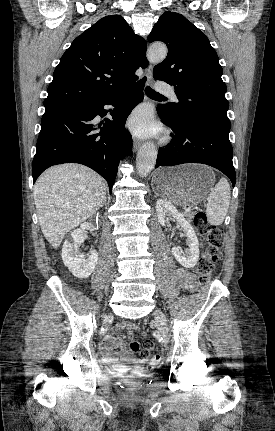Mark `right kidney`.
Returning <instances> with one entry per match:
<instances>
[{
    "label": "right kidney",
    "mask_w": 275,
    "mask_h": 431,
    "mask_svg": "<svg viewBox=\"0 0 275 431\" xmlns=\"http://www.w3.org/2000/svg\"><path fill=\"white\" fill-rule=\"evenodd\" d=\"M92 227V224L85 222L79 229L71 232L73 242L65 241L62 248V260L69 271L77 278H88L94 271L98 262V253L96 250L90 251L85 256L79 251V246L84 243V230Z\"/></svg>",
    "instance_id": "obj_1"
}]
</instances>
